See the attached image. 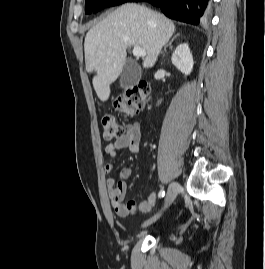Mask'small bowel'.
<instances>
[{
	"label": "small bowel",
	"mask_w": 265,
	"mask_h": 269,
	"mask_svg": "<svg viewBox=\"0 0 265 269\" xmlns=\"http://www.w3.org/2000/svg\"><path fill=\"white\" fill-rule=\"evenodd\" d=\"M142 136V126L139 122H131L126 125L124 133L118 137L114 142L108 143L105 146L106 154L115 158L119 150H129L132 153H137L140 148V140ZM106 172L112 171V165L105 166ZM132 178V169L123 167L118 175V178L109 177L107 179V191L111 206L118 216L126 217L129 214L137 211L146 213L151 210L156 201V194L151 193L146 200L140 204L131 200L124 203V198L127 190V181Z\"/></svg>",
	"instance_id": "small-bowel-1"
}]
</instances>
